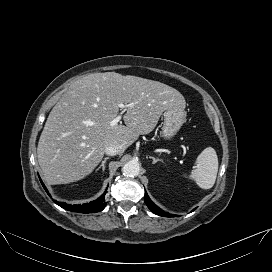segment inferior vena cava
I'll use <instances>...</instances> for the list:
<instances>
[{"mask_svg":"<svg viewBox=\"0 0 272 272\" xmlns=\"http://www.w3.org/2000/svg\"><path fill=\"white\" fill-rule=\"evenodd\" d=\"M104 151H105V154L109 156H114L119 153L118 147L114 144H110L106 146Z\"/></svg>","mask_w":272,"mask_h":272,"instance_id":"inferior-vena-cava-1","label":"inferior vena cava"}]
</instances>
